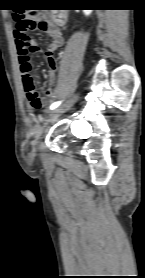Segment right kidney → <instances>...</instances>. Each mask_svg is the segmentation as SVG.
<instances>
[{"label":"right kidney","mask_w":145,"mask_h":278,"mask_svg":"<svg viewBox=\"0 0 145 278\" xmlns=\"http://www.w3.org/2000/svg\"><path fill=\"white\" fill-rule=\"evenodd\" d=\"M83 12L86 16H88L91 14L92 10H83Z\"/></svg>","instance_id":"right-kidney-1"}]
</instances>
